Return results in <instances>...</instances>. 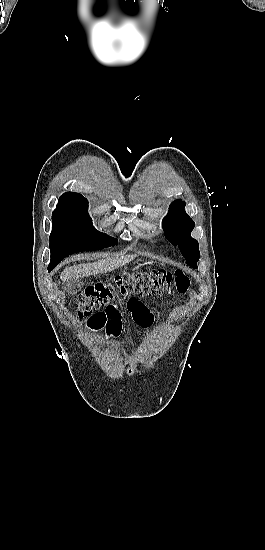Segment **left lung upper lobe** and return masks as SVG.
<instances>
[{"instance_id": "left-lung-upper-lobe-1", "label": "left lung upper lobe", "mask_w": 265, "mask_h": 550, "mask_svg": "<svg viewBox=\"0 0 265 550\" xmlns=\"http://www.w3.org/2000/svg\"><path fill=\"white\" fill-rule=\"evenodd\" d=\"M185 202L176 200L171 203L170 210L163 220V229L168 240L181 249L186 263L197 268L199 260L198 241L190 236L195 223L184 211Z\"/></svg>"}]
</instances>
